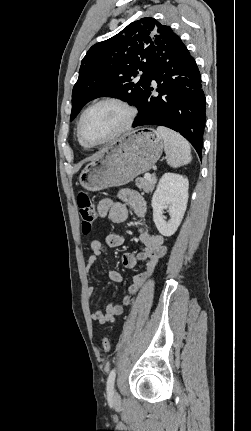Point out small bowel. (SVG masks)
Returning a JSON list of instances; mask_svg holds the SVG:
<instances>
[{
	"label": "small bowel",
	"mask_w": 251,
	"mask_h": 431,
	"mask_svg": "<svg viewBox=\"0 0 251 431\" xmlns=\"http://www.w3.org/2000/svg\"><path fill=\"white\" fill-rule=\"evenodd\" d=\"M128 208L139 218H144L147 214V205L143 197L134 190L125 189L118 195V200L105 198L99 201L97 206L98 215L101 218L108 217L114 223L123 222L128 216ZM139 240L142 248L136 254L127 252L122 256L123 265L127 268H134L141 265L142 271L134 276L132 284L128 287L131 295L136 294L153 274L158 262L167 253V246L164 237L160 234H151L144 227L139 229ZM124 244V238L115 233L106 235L103 239H96L91 242L92 255L87 261V269L90 270L97 260L109 248L120 247ZM110 280L116 283L123 281V276L116 270L108 273ZM93 286L87 289L88 297L93 295ZM131 295L123 297L122 305L109 304L105 312L96 309L91 313V318L100 324L113 322L116 317L124 311V306L132 303Z\"/></svg>",
	"instance_id": "obj_1"
}]
</instances>
